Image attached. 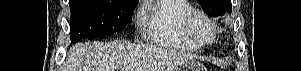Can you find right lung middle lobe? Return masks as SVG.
I'll use <instances>...</instances> for the list:
<instances>
[{"mask_svg": "<svg viewBox=\"0 0 301 71\" xmlns=\"http://www.w3.org/2000/svg\"><path fill=\"white\" fill-rule=\"evenodd\" d=\"M138 0H69L70 38H99L121 32L131 21Z\"/></svg>", "mask_w": 301, "mask_h": 71, "instance_id": "1", "label": "right lung middle lobe"}]
</instances>
